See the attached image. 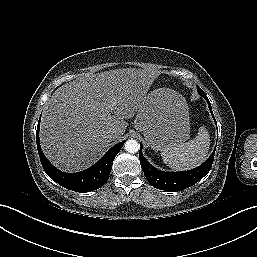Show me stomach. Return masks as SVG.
I'll return each instance as SVG.
<instances>
[{"label": "stomach", "instance_id": "stomach-1", "mask_svg": "<svg viewBox=\"0 0 257 257\" xmlns=\"http://www.w3.org/2000/svg\"><path fill=\"white\" fill-rule=\"evenodd\" d=\"M134 125L156 151L182 144L188 140L190 133L187 102L172 89H155L147 94L137 110Z\"/></svg>", "mask_w": 257, "mask_h": 257}]
</instances>
